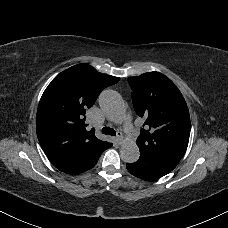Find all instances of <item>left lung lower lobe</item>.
<instances>
[{"label": "left lung lower lobe", "mask_w": 228, "mask_h": 228, "mask_svg": "<svg viewBox=\"0 0 228 228\" xmlns=\"http://www.w3.org/2000/svg\"><path fill=\"white\" fill-rule=\"evenodd\" d=\"M177 163L149 153H140V158L135 163H127L128 171L143 180H156L171 172Z\"/></svg>", "instance_id": "left-lung-lower-lobe-1"}]
</instances>
